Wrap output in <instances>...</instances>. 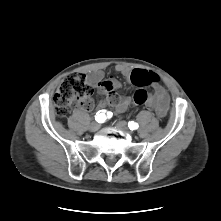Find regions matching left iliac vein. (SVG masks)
<instances>
[{"instance_id":"4c4485c4","label":"left iliac vein","mask_w":221,"mask_h":221,"mask_svg":"<svg viewBox=\"0 0 221 221\" xmlns=\"http://www.w3.org/2000/svg\"><path fill=\"white\" fill-rule=\"evenodd\" d=\"M116 127L122 131H125L127 133H132L129 129H128V126L126 124L125 121H119L117 124H116Z\"/></svg>"}]
</instances>
